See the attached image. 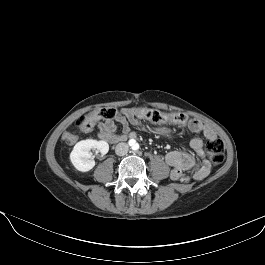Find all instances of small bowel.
I'll return each mask as SVG.
<instances>
[{"mask_svg":"<svg viewBox=\"0 0 265 265\" xmlns=\"http://www.w3.org/2000/svg\"><path fill=\"white\" fill-rule=\"evenodd\" d=\"M136 108L122 109L115 118L108 119L98 125V135L109 143H118L130 132L129 124L142 126L141 118L134 115ZM187 128L191 132H202L208 140L217 138L213 128L202 122L191 119ZM117 124L121 126L122 133L117 132ZM192 153L171 151L166 154L165 161L171 167V178L175 181L187 182L189 177L185 171L193 169L192 178L196 181L205 179L210 173V163L204 155V142L201 138H194L190 142Z\"/></svg>","mask_w":265,"mask_h":265,"instance_id":"c3829d8e","label":"small bowel"}]
</instances>
